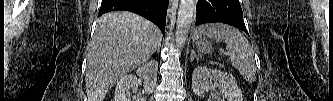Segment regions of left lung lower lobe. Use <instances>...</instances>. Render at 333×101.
<instances>
[{"instance_id":"obj_1","label":"left lung lower lobe","mask_w":333,"mask_h":101,"mask_svg":"<svg viewBox=\"0 0 333 101\" xmlns=\"http://www.w3.org/2000/svg\"><path fill=\"white\" fill-rule=\"evenodd\" d=\"M196 25L222 22L247 33L239 0H198Z\"/></svg>"}]
</instances>
